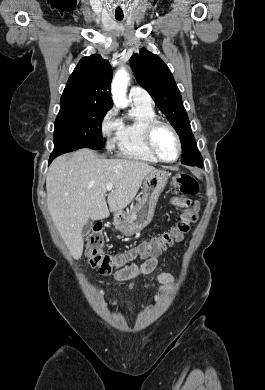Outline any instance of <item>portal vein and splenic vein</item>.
I'll return each mask as SVG.
<instances>
[{"instance_id":"18ae733b","label":"portal vein and splenic vein","mask_w":265,"mask_h":390,"mask_svg":"<svg viewBox=\"0 0 265 390\" xmlns=\"http://www.w3.org/2000/svg\"><path fill=\"white\" fill-rule=\"evenodd\" d=\"M112 188H113V184H112V183H108V184L106 185L107 191H111Z\"/></svg>"}]
</instances>
